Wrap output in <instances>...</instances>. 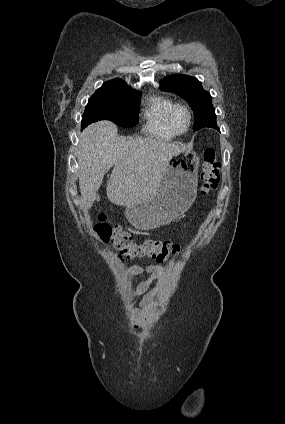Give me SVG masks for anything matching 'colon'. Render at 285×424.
I'll use <instances>...</instances> for the list:
<instances>
[{
  "instance_id": "5ec220e1",
  "label": "colon",
  "mask_w": 285,
  "mask_h": 424,
  "mask_svg": "<svg viewBox=\"0 0 285 424\" xmlns=\"http://www.w3.org/2000/svg\"><path fill=\"white\" fill-rule=\"evenodd\" d=\"M219 171L220 162L214 149H205L200 173L201 193L208 194L217 188L220 181ZM94 230L104 242L112 244L118 250L120 259L152 258L163 263L182 251L180 245L171 241H135L121 226L111 224L105 217L99 218Z\"/></svg>"
}]
</instances>
